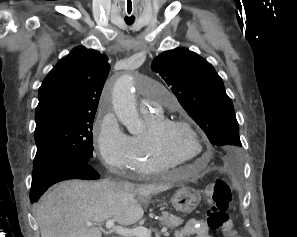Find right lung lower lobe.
<instances>
[{
    "instance_id": "obj_1",
    "label": "right lung lower lobe",
    "mask_w": 297,
    "mask_h": 237,
    "mask_svg": "<svg viewBox=\"0 0 297 237\" xmlns=\"http://www.w3.org/2000/svg\"><path fill=\"white\" fill-rule=\"evenodd\" d=\"M100 178L86 160L63 159L51 163L44 171V175L32 181L30 200L37 201L41 195L53 184L69 179L97 180Z\"/></svg>"
}]
</instances>
